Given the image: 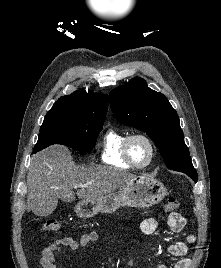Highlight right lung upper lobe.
Masks as SVG:
<instances>
[{"instance_id":"cb5924a9","label":"right lung upper lobe","mask_w":221,"mask_h":268,"mask_svg":"<svg viewBox=\"0 0 221 268\" xmlns=\"http://www.w3.org/2000/svg\"><path fill=\"white\" fill-rule=\"evenodd\" d=\"M105 94L75 91L59 98L48 113H63L87 121L103 122L107 113Z\"/></svg>"}]
</instances>
